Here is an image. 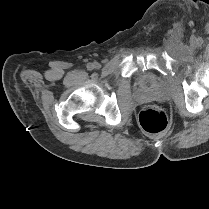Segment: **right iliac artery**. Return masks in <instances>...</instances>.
I'll use <instances>...</instances> for the list:
<instances>
[{
	"mask_svg": "<svg viewBox=\"0 0 209 209\" xmlns=\"http://www.w3.org/2000/svg\"><path fill=\"white\" fill-rule=\"evenodd\" d=\"M95 66L93 65V64H91V63H89L88 65H87V68L88 69H93Z\"/></svg>",
	"mask_w": 209,
	"mask_h": 209,
	"instance_id": "right-iliac-artery-1",
	"label": "right iliac artery"
}]
</instances>
